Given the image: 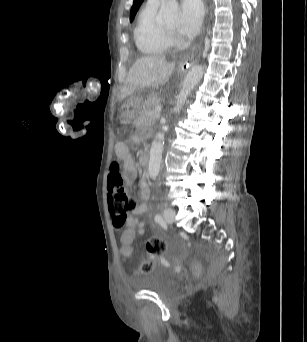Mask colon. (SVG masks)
Returning a JSON list of instances; mask_svg holds the SVG:
<instances>
[{
  "mask_svg": "<svg viewBox=\"0 0 307 342\" xmlns=\"http://www.w3.org/2000/svg\"><path fill=\"white\" fill-rule=\"evenodd\" d=\"M108 201L114 227L117 229L124 227L127 215L136 208V201L128 194L120 170L115 164L111 167L108 175ZM124 230V235H120L118 238L120 241V252L121 254H132L134 231L131 226H126ZM145 249L151 257H158L170 250L168 243L158 237L148 240L145 244ZM152 269V261L145 260L138 266L136 272L140 275H145L149 274ZM191 271L194 276H203L205 268L204 266L195 265L192 266Z\"/></svg>",
  "mask_w": 307,
  "mask_h": 342,
  "instance_id": "5ec220e1",
  "label": "colon"
}]
</instances>
